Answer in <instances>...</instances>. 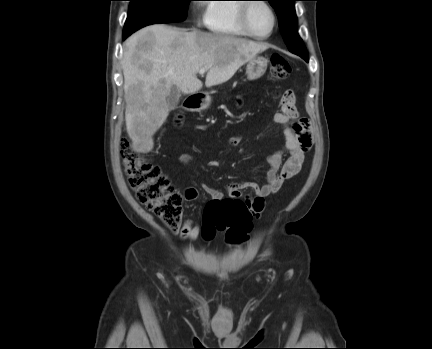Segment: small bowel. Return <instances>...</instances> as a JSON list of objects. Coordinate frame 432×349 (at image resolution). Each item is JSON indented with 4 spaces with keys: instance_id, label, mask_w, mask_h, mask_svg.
Wrapping results in <instances>:
<instances>
[{
    "instance_id": "1",
    "label": "small bowel",
    "mask_w": 432,
    "mask_h": 349,
    "mask_svg": "<svg viewBox=\"0 0 432 349\" xmlns=\"http://www.w3.org/2000/svg\"><path fill=\"white\" fill-rule=\"evenodd\" d=\"M295 120V122H293ZM273 121L283 127L284 142L282 146L273 152L267 158V182L259 185L254 182H245L241 184H229L226 188L227 198L244 200L254 218L261 215L265 207V198L276 193L282 184L297 175L302 167L305 154L313 144L312 127L308 119L299 118L297 109L294 105V95L292 91H287L282 99L281 111L275 113ZM241 142V137L236 136L228 141L227 147L232 148ZM289 154V157L283 161V155ZM191 156L184 154L180 157L182 164L191 161ZM218 159H212L208 162L209 167H218ZM250 189L253 194L243 197L242 190ZM203 190L208 194L212 201H221L225 195L208 185L203 186ZM199 192L195 187H189L184 194L186 201L191 202L198 198ZM200 233V227L193 220L184 221L180 230V237L183 240L194 241Z\"/></svg>"
}]
</instances>
